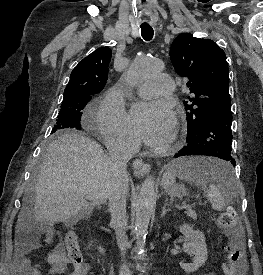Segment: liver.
<instances>
[{
  "mask_svg": "<svg viewBox=\"0 0 263 275\" xmlns=\"http://www.w3.org/2000/svg\"><path fill=\"white\" fill-rule=\"evenodd\" d=\"M109 156L93 139L68 132L49 146L37 175L33 208L24 201L18 216L38 223H73L107 202Z\"/></svg>",
  "mask_w": 263,
  "mask_h": 275,
  "instance_id": "obj_1",
  "label": "liver"
}]
</instances>
